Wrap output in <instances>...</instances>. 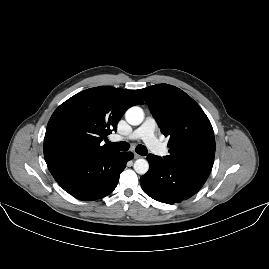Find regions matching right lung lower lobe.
<instances>
[{
	"instance_id": "98d812e1",
	"label": "right lung lower lobe",
	"mask_w": 269,
	"mask_h": 269,
	"mask_svg": "<svg viewBox=\"0 0 269 269\" xmlns=\"http://www.w3.org/2000/svg\"><path fill=\"white\" fill-rule=\"evenodd\" d=\"M132 158L131 152L111 150L91 157L56 160L48 168L65 191L77 199L91 201L107 196L116 188L120 173Z\"/></svg>"
}]
</instances>
